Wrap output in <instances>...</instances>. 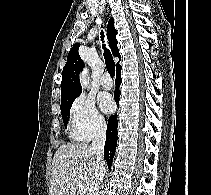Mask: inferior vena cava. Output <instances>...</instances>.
<instances>
[{
    "label": "inferior vena cava",
    "instance_id": "1",
    "mask_svg": "<svg viewBox=\"0 0 211 195\" xmlns=\"http://www.w3.org/2000/svg\"><path fill=\"white\" fill-rule=\"evenodd\" d=\"M106 140V125L100 123L97 125L94 132V139L92 141L91 149L96 153V168L97 173L92 182L89 195H100V187L104 177V159H103V149Z\"/></svg>",
    "mask_w": 211,
    "mask_h": 195
}]
</instances>
